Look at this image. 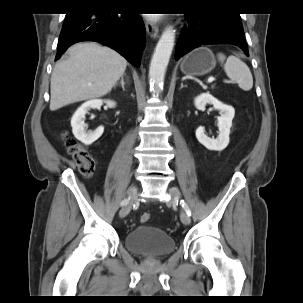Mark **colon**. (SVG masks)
<instances>
[{
    "label": "colon",
    "mask_w": 303,
    "mask_h": 303,
    "mask_svg": "<svg viewBox=\"0 0 303 303\" xmlns=\"http://www.w3.org/2000/svg\"><path fill=\"white\" fill-rule=\"evenodd\" d=\"M68 150L79 166L82 174L92 176L96 170V160L89 154L86 148L73 140L68 142ZM151 218L150 213H143L140 216L141 223H147Z\"/></svg>",
    "instance_id": "obj_1"
}]
</instances>
